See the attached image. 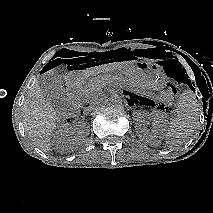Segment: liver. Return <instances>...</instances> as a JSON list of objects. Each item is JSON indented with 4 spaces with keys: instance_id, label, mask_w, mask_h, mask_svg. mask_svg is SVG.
Segmentation results:
<instances>
[{
    "instance_id": "6515ba94",
    "label": "liver",
    "mask_w": 213,
    "mask_h": 213,
    "mask_svg": "<svg viewBox=\"0 0 213 213\" xmlns=\"http://www.w3.org/2000/svg\"><path fill=\"white\" fill-rule=\"evenodd\" d=\"M132 62H118L87 68L82 72L83 77H97L122 69ZM55 74V70L46 75ZM96 86L101 87L102 81L96 80ZM60 121V114L43 96L39 83L31 89L23 104V125L32 143L44 152L51 151V137Z\"/></svg>"
}]
</instances>
